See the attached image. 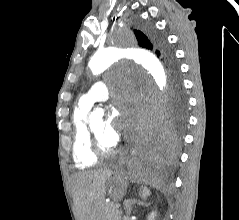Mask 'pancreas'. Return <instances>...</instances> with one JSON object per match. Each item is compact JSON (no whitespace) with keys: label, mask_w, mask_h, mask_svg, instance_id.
<instances>
[{"label":"pancreas","mask_w":239,"mask_h":220,"mask_svg":"<svg viewBox=\"0 0 239 220\" xmlns=\"http://www.w3.org/2000/svg\"><path fill=\"white\" fill-rule=\"evenodd\" d=\"M122 211L115 207L114 203H109L104 206L103 220H121Z\"/></svg>","instance_id":"pancreas-1"}]
</instances>
